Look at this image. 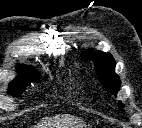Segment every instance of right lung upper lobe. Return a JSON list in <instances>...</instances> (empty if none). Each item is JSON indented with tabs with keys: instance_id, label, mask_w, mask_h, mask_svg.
Masks as SVG:
<instances>
[{
	"instance_id": "obj_1",
	"label": "right lung upper lobe",
	"mask_w": 142,
	"mask_h": 128,
	"mask_svg": "<svg viewBox=\"0 0 142 128\" xmlns=\"http://www.w3.org/2000/svg\"><path fill=\"white\" fill-rule=\"evenodd\" d=\"M30 69H27V68H21L20 69V75H19V77L18 78H20V77H22L26 72H28ZM17 78V79H18Z\"/></svg>"
}]
</instances>
